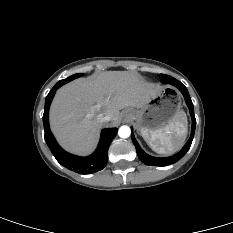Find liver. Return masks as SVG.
Segmentation results:
<instances>
[{
	"label": "liver",
	"mask_w": 233,
	"mask_h": 233,
	"mask_svg": "<svg viewBox=\"0 0 233 233\" xmlns=\"http://www.w3.org/2000/svg\"><path fill=\"white\" fill-rule=\"evenodd\" d=\"M160 91L159 86L128 71H106L77 79L55 95L50 108L52 132L66 150L89 154L103 126L97 120L99 114L109 116L106 124L116 126L121 120V109L143 106Z\"/></svg>",
	"instance_id": "6515ba94"
}]
</instances>
